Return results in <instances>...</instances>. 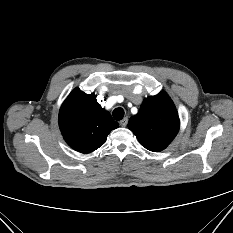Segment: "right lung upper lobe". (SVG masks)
<instances>
[{"mask_svg": "<svg viewBox=\"0 0 233 233\" xmlns=\"http://www.w3.org/2000/svg\"><path fill=\"white\" fill-rule=\"evenodd\" d=\"M59 126L70 147L90 153L102 146L111 130L119 125L101 107L94 94L75 88L61 106Z\"/></svg>", "mask_w": 233, "mask_h": 233, "instance_id": "right-lung-upper-lobe-1", "label": "right lung upper lobe"}]
</instances>
